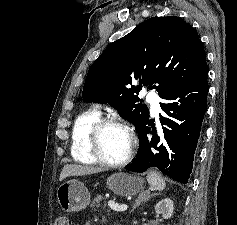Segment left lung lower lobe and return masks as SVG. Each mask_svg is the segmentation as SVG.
<instances>
[{
    "mask_svg": "<svg viewBox=\"0 0 237 225\" xmlns=\"http://www.w3.org/2000/svg\"><path fill=\"white\" fill-rule=\"evenodd\" d=\"M209 87L207 77L194 87H183L161 96L164 116L162 127L156 128L149 117L138 130L139 149L136 158L125 168L144 172L158 168L170 178L187 183L207 109ZM147 134H152L148 138Z\"/></svg>",
    "mask_w": 237,
    "mask_h": 225,
    "instance_id": "0a47b994",
    "label": "left lung lower lobe"
}]
</instances>
